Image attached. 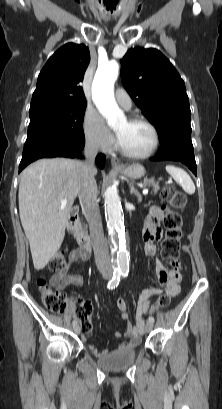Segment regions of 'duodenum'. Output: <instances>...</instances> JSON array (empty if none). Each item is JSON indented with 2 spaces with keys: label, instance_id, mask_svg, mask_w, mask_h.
Wrapping results in <instances>:
<instances>
[{
  "label": "duodenum",
  "instance_id": "duodenum-1",
  "mask_svg": "<svg viewBox=\"0 0 222 409\" xmlns=\"http://www.w3.org/2000/svg\"><path fill=\"white\" fill-rule=\"evenodd\" d=\"M67 230L69 235L74 239L79 248L85 253L90 254L91 240L83 231L79 220V208L73 206L68 215Z\"/></svg>",
  "mask_w": 222,
  "mask_h": 409
}]
</instances>
